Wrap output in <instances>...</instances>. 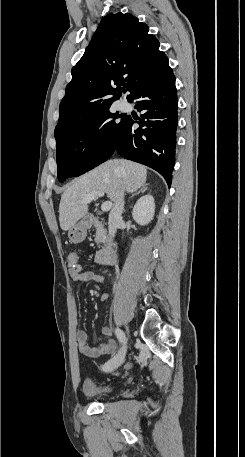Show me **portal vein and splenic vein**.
<instances>
[{"mask_svg":"<svg viewBox=\"0 0 245 457\" xmlns=\"http://www.w3.org/2000/svg\"><path fill=\"white\" fill-rule=\"evenodd\" d=\"M105 192L103 190H93V192H89V194H86L84 196L82 202H91V200H94L95 196H104ZM112 206L111 200H106V202H103L101 204L102 210H110Z\"/></svg>","mask_w":245,"mask_h":457,"instance_id":"obj_1","label":"portal vein and splenic vein"}]
</instances>
